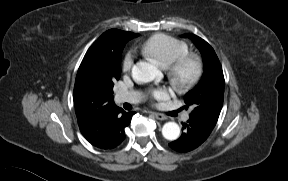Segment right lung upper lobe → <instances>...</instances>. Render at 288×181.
<instances>
[{
	"instance_id": "1",
	"label": "right lung upper lobe",
	"mask_w": 288,
	"mask_h": 181,
	"mask_svg": "<svg viewBox=\"0 0 288 181\" xmlns=\"http://www.w3.org/2000/svg\"><path fill=\"white\" fill-rule=\"evenodd\" d=\"M139 34L110 29L88 49L78 69L74 103L80 131L94 146L108 149L116 136L115 119L122 109L113 101V87L107 80V54L121 40Z\"/></svg>"
}]
</instances>
